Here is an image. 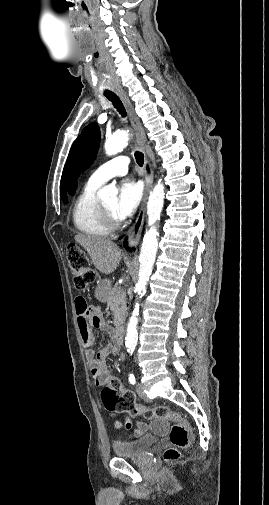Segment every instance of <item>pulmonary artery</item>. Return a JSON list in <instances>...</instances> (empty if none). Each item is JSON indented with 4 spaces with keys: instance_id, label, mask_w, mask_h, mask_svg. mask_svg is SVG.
Here are the masks:
<instances>
[{
    "instance_id": "e3ab8cb5",
    "label": "pulmonary artery",
    "mask_w": 269,
    "mask_h": 505,
    "mask_svg": "<svg viewBox=\"0 0 269 505\" xmlns=\"http://www.w3.org/2000/svg\"><path fill=\"white\" fill-rule=\"evenodd\" d=\"M129 162L130 160L127 156L115 157L98 167L91 174L89 181L102 185L113 177L126 175Z\"/></svg>"
}]
</instances>
